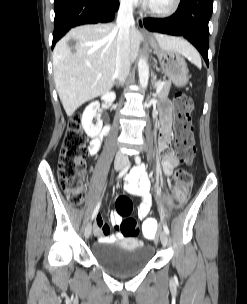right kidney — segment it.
Segmentation results:
<instances>
[{"label":"right kidney","instance_id":"obj_1","mask_svg":"<svg viewBox=\"0 0 247 304\" xmlns=\"http://www.w3.org/2000/svg\"><path fill=\"white\" fill-rule=\"evenodd\" d=\"M116 99V94L114 92H107L102 95L101 100L107 104L113 103ZM100 108L99 101H94L90 103L84 110L81 123L85 133L91 137H96L103 126V122L97 114ZM97 117L96 124H93V118Z\"/></svg>","mask_w":247,"mask_h":304}]
</instances>
